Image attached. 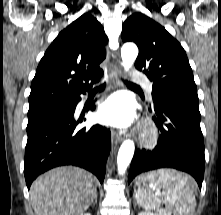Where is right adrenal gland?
Instances as JSON below:
<instances>
[{
	"label": "right adrenal gland",
	"instance_id": "2a0ac1e0",
	"mask_svg": "<svg viewBox=\"0 0 221 215\" xmlns=\"http://www.w3.org/2000/svg\"><path fill=\"white\" fill-rule=\"evenodd\" d=\"M92 204H97V192H95L94 194V199H93Z\"/></svg>",
	"mask_w": 221,
	"mask_h": 215
}]
</instances>
